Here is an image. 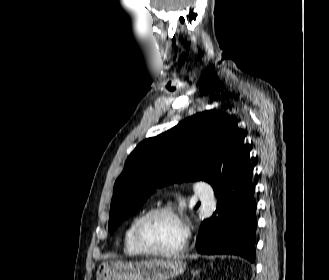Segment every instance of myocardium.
<instances>
[{
	"label": "myocardium",
	"mask_w": 329,
	"mask_h": 280,
	"mask_svg": "<svg viewBox=\"0 0 329 280\" xmlns=\"http://www.w3.org/2000/svg\"><path fill=\"white\" fill-rule=\"evenodd\" d=\"M160 214H168L173 216L178 220L182 227L183 236L181 242L174 248L168 250H157L150 246H148L142 238V231L146 223L153 217L160 215ZM133 242L137 249L149 256L154 257H169L174 256L181 253L187 246L189 240V232L184 224V221L177 209L171 206H158L155 208L150 209L149 211L145 212L141 215V217L137 220L134 228H133Z\"/></svg>",
	"instance_id": "1"
}]
</instances>
